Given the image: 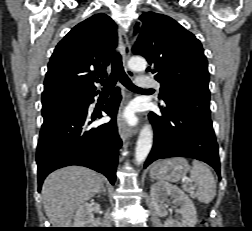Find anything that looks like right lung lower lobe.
Returning a JSON list of instances; mask_svg holds the SVG:
<instances>
[{
    "mask_svg": "<svg viewBox=\"0 0 252 231\" xmlns=\"http://www.w3.org/2000/svg\"><path fill=\"white\" fill-rule=\"evenodd\" d=\"M97 94L81 96L80 104L72 110L44 118L36 158L39 189L49 173L69 165L91 168L115 183L118 150L122 145L116 126L121 95L117 88L103 107L111 121L91 128L94 119L89 120L88 107Z\"/></svg>",
    "mask_w": 252,
    "mask_h": 231,
    "instance_id": "1",
    "label": "right lung lower lobe"
}]
</instances>
